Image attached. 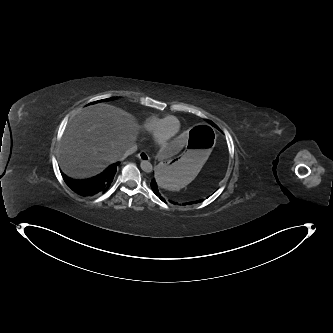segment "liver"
Wrapping results in <instances>:
<instances>
[{
  "label": "liver",
  "instance_id": "obj_1",
  "mask_svg": "<svg viewBox=\"0 0 333 333\" xmlns=\"http://www.w3.org/2000/svg\"><path fill=\"white\" fill-rule=\"evenodd\" d=\"M140 125L128 112L106 103L88 106L76 113L63 135L59 160L62 171L84 179L102 172L134 146ZM188 141L179 135L160 148L167 161L185 150Z\"/></svg>",
  "mask_w": 333,
  "mask_h": 333
}]
</instances>
